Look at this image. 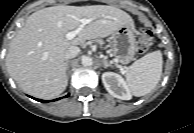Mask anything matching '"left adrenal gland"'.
<instances>
[{"label": "left adrenal gland", "instance_id": "a2214340", "mask_svg": "<svg viewBox=\"0 0 194 133\" xmlns=\"http://www.w3.org/2000/svg\"><path fill=\"white\" fill-rule=\"evenodd\" d=\"M103 66L105 69L108 67H112V65L105 58H103Z\"/></svg>", "mask_w": 194, "mask_h": 133}]
</instances>
